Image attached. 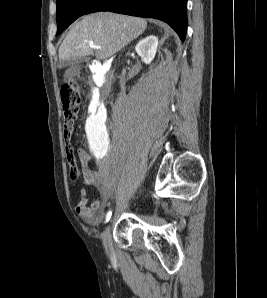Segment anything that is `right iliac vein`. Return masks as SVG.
I'll return each mask as SVG.
<instances>
[{"label":"right iliac vein","mask_w":267,"mask_h":298,"mask_svg":"<svg viewBox=\"0 0 267 298\" xmlns=\"http://www.w3.org/2000/svg\"><path fill=\"white\" fill-rule=\"evenodd\" d=\"M102 241L107 255H113L112 239H111V225L110 223L106 226L102 233Z\"/></svg>","instance_id":"right-iliac-vein-1"}]
</instances>
